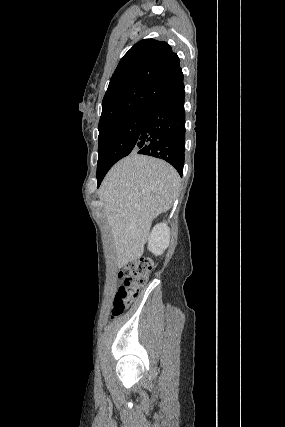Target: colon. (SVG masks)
<instances>
[{"mask_svg":"<svg viewBox=\"0 0 285 427\" xmlns=\"http://www.w3.org/2000/svg\"><path fill=\"white\" fill-rule=\"evenodd\" d=\"M152 270V261L148 258L134 259L119 272L121 284L112 298L111 317L121 315L127 306L137 297Z\"/></svg>","mask_w":285,"mask_h":427,"instance_id":"colon-1","label":"colon"}]
</instances>
